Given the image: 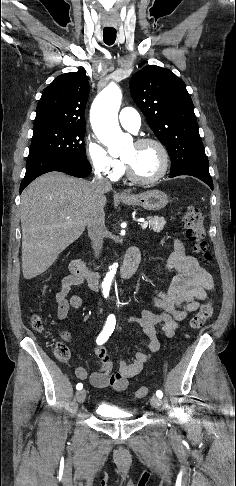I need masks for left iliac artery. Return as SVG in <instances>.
<instances>
[{
	"label": "left iliac artery",
	"mask_w": 236,
	"mask_h": 486,
	"mask_svg": "<svg viewBox=\"0 0 236 486\" xmlns=\"http://www.w3.org/2000/svg\"><path fill=\"white\" fill-rule=\"evenodd\" d=\"M156 395H157V397H159V398H162V397H163V393H162V391H161V390H157V391H156Z\"/></svg>",
	"instance_id": "1"
}]
</instances>
